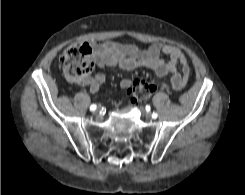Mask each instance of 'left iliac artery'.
Listing matches in <instances>:
<instances>
[{"label": "left iliac artery", "mask_w": 245, "mask_h": 195, "mask_svg": "<svg viewBox=\"0 0 245 195\" xmlns=\"http://www.w3.org/2000/svg\"><path fill=\"white\" fill-rule=\"evenodd\" d=\"M157 117H158V114H157V113H155V112H153V114H152V118L156 119Z\"/></svg>", "instance_id": "left-iliac-artery-1"}]
</instances>
